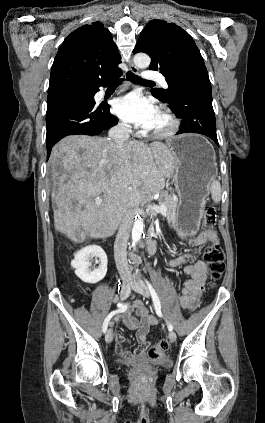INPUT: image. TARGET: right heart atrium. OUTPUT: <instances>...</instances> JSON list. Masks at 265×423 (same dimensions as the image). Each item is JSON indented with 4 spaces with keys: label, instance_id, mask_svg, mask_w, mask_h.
<instances>
[{
    "label": "right heart atrium",
    "instance_id": "right-heart-atrium-1",
    "mask_svg": "<svg viewBox=\"0 0 265 423\" xmlns=\"http://www.w3.org/2000/svg\"><path fill=\"white\" fill-rule=\"evenodd\" d=\"M119 128L125 131H130L131 130V126L125 122H120L119 123Z\"/></svg>",
    "mask_w": 265,
    "mask_h": 423
}]
</instances>
